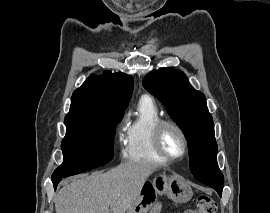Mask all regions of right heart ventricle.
I'll return each mask as SVG.
<instances>
[{"label":"right heart ventricle","mask_w":270,"mask_h":213,"mask_svg":"<svg viewBox=\"0 0 270 213\" xmlns=\"http://www.w3.org/2000/svg\"><path fill=\"white\" fill-rule=\"evenodd\" d=\"M162 115L149 97H142L125 130L124 158L137 163H164L153 145V131Z\"/></svg>","instance_id":"1"}]
</instances>
